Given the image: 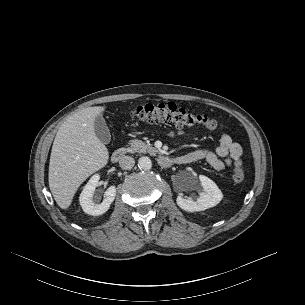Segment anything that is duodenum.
<instances>
[{"label":"duodenum","instance_id":"1","mask_svg":"<svg viewBox=\"0 0 305 305\" xmlns=\"http://www.w3.org/2000/svg\"><path fill=\"white\" fill-rule=\"evenodd\" d=\"M125 155V150L123 148H118L113 151L111 154V161L113 163H118L121 161L123 156ZM178 163V160L176 158L168 157L165 155H160L158 157V164L163 168L171 167L172 165H175Z\"/></svg>","mask_w":305,"mask_h":305}]
</instances>
